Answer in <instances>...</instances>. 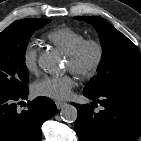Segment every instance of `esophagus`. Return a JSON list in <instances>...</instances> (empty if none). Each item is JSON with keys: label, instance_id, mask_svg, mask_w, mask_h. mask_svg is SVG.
Masks as SVG:
<instances>
[{"label": "esophagus", "instance_id": "obj_1", "mask_svg": "<svg viewBox=\"0 0 141 141\" xmlns=\"http://www.w3.org/2000/svg\"><path fill=\"white\" fill-rule=\"evenodd\" d=\"M56 106L60 110V109L64 108L65 106H67V103L66 102L57 101L56 102Z\"/></svg>", "mask_w": 141, "mask_h": 141}]
</instances>
